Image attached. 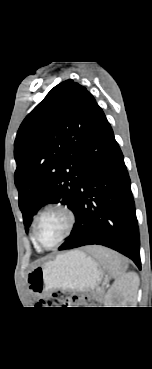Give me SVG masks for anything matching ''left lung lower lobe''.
Here are the masks:
<instances>
[{
	"instance_id": "0a47b994",
	"label": "left lung lower lobe",
	"mask_w": 152,
	"mask_h": 369,
	"mask_svg": "<svg viewBox=\"0 0 152 369\" xmlns=\"http://www.w3.org/2000/svg\"><path fill=\"white\" fill-rule=\"evenodd\" d=\"M76 222L59 250L103 245L129 257L141 269L139 228L124 157L102 109L81 159Z\"/></svg>"
}]
</instances>
